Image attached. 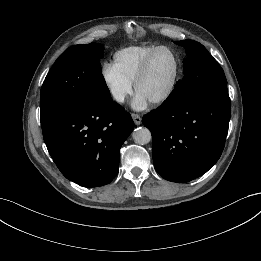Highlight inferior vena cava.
<instances>
[{"label":"inferior vena cava","instance_id":"602c4592","mask_svg":"<svg viewBox=\"0 0 261 261\" xmlns=\"http://www.w3.org/2000/svg\"><path fill=\"white\" fill-rule=\"evenodd\" d=\"M114 98L119 102H123L125 98V94L123 92H117L114 94Z\"/></svg>","mask_w":261,"mask_h":261}]
</instances>
